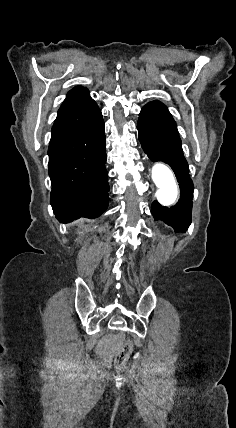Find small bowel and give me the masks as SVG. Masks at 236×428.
I'll return each mask as SVG.
<instances>
[{
  "label": "small bowel",
  "mask_w": 236,
  "mask_h": 428,
  "mask_svg": "<svg viewBox=\"0 0 236 428\" xmlns=\"http://www.w3.org/2000/svg\"><path fill=\"white\" fill-rule=\"evenodd\" d=\"M118 345V335L116 333H111L98 344L97 351L102 356H109Z\"/></svg>",
  "instance_id": "1"
}]
</instances>
